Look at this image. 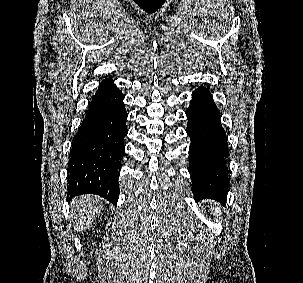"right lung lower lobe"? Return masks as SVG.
Here are the masks:
<instances>
[{"label":"right lung lower lobe","instance_id":"right-lung-lower-lobe-1","mask_svg":"<svg viewBox=\"0 0 303 283\" xmlns=\"http://www.w3.org/2000/svg\"><path fill=\"white\" fill-rule=\"evenodd\" d=\"M106 78L86 110L84 121L73 138L68 164V195L96 194L116 204L118 177L125 153L127 112L122 92ZM68 198V199H69Z\"/></svg>","mask_w":303,"mask_h":283}]
</instances>
